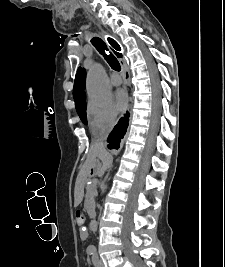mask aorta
<instances>
[{"label":"aorta","mask_w":225,"mask_h":267,"mask_svg":"<svg viewBox=\"0 0 225 267\" xmlns=\"http://www.w3.org/2000/svg\"><path fill=\"white\" fill-rule=\"evenodd\" d=\"M87 92L91 103L97 105L106 104L111 99V91L106 80L104 69L100 65L91 67L87 74ZM107 184L101 185V191L104 193Z\"/></svg>","instance_id":"1"}]
</instances>
